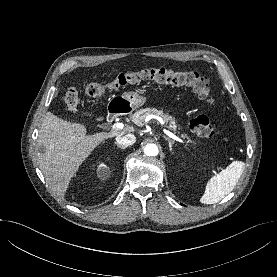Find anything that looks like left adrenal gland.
<instances>
[{
  "label": "left adrenal gland",
  "instance_id": "obj_1",
  "mask_svg": "<svg viewBox=\"0 0 277 277\" xmlns=\"http://www.w3.org/2000/svg\"><path fill=\"white\" fill-rule=\"evenodd\" d=\"M165 140H167L168 144H169V150L170 152H172V147H173V141L171 139H169L168 137H165ZM173 153V152H172Z\"/></svg>",
  "mask_w": 277,
  "mask_h": 277
}]
</instances>
